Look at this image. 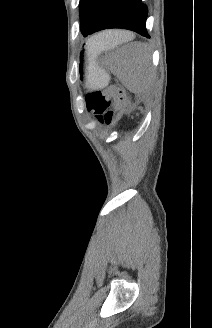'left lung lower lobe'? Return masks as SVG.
Instances as JSON below:
<instances>
[{
    "label": "left lung lower lobe",
    "instance_id": "left-lung-lower-lobe-1",
    "mask_svg": "<svg viewBox=\"0 0 212 328\" xmlns=\"http://www.w3.org/2000/svg\"><path fill=\"white\" fill-rule=\"evenodd\" d=\"M146 19L147 7L141 0H106L86 36L103 29L122 28L149 37Z\"/></svg>",
    "mask_w": 212,
    "mask_h": 328
}]
</instances>
